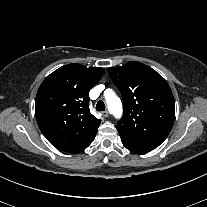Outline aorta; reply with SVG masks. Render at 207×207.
Instances as JSON below:
<instances>
[{
	"instance_id": "1",
	"label": "aorta",
	"mask_w": 207,
	"mask_h": 207,
	"mask_svg": "<svg viewBox=\"0 0 207 207\" xmlns=\"http://www.w3.org/2000/svg\"><path fill=\"white\" fill-rule=\"evenodd\" d=\"M104 95L110 113L113 114L116 118H120L123 113L120 98L111 89H107Z\"/></svg>"
}]
</instances>
